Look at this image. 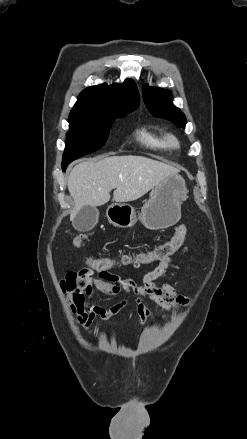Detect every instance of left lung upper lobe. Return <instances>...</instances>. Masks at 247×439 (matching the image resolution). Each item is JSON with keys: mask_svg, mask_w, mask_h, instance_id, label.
Here are the masks:
<instances>
[{"mask_svg": "<svg viewBox=\"0 0 247 439\" xmlns=\"http://www.w3.org/2000/svg\"><path fill=\"white\" fill-rule=\"evenodd\" d=\"M143 99L146 107L156 117L170 120L175 125L185 128L186 117L181 110L172 104L169 91L143 85Z\"/></svg>", "mask_w": 247, "mask_h": 439, "instance_id": "obj_1", "label": "left lung upper lobe"}]
</instances>
